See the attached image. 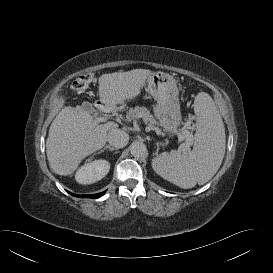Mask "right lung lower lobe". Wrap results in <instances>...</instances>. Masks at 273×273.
<instances>
[{
  "label": "right lung lower lobe",
  "instance_id": "1",
  "mask_svg": "<svg viewBox=\"0 0 273 273\" xmlns=\"http://www.w3.org/2000/svg\"><path fill=\"white\" fill-rule=\"evenodd\" d=\"M104 193L105 192L98 193V194H91V195H75V194H72V193H70V194L73 195V196H76V197H81V198H94V199H96V198H99V197L103 196Z\"/></svg>",
  "mask_w": 273,
  "mask_h": 273
}]
</instances>
